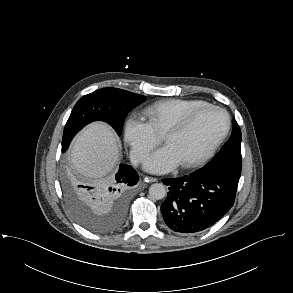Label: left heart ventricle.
Returning <instances> with one entry per match:
<instances>
[{
  "label": "left heart ventricle",
  "mask_w": 293,
  "mask_h": 293,
  "mask_svg": "<svg viewBox=\"0 0 293 293\" xmlns=\"http://www.w3.org/2000/svg\"><path fill=\"white\" fill-rule=\"evenodd\" d=\"M225 124L222 112L206 110L182 133L169 136L166 144L171 147L180 163L188 162L208 149L223 132Z\"/></svg>",
  "instance_id": "1"
}]
</instances>
